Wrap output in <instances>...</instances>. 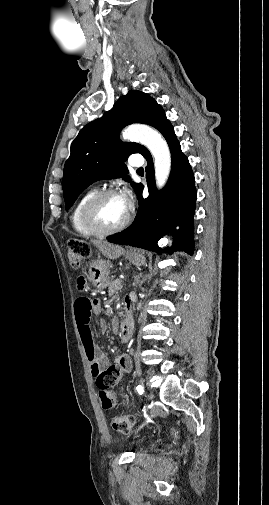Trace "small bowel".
<instances>
[{"label":"small bowel","mask_w":269,"mask_h":505,"mask_svg":"<svg viewBox=\"0 0 269 505\" xmlns=\"http://www.w3.org/2000/svg\"><path fill=\"white\" fill-rule=\"evenodd\" d=\"M77 286L75 287V296L73 299L75 316L77 321L78 331L85 349L86 357L91 364V370L94 376L101 372L106 366L109 365L107 356L103 351L97 347L93 340V331L91 325V317L98 315L101 312V301L95 295H90L86 289L85 275L78 273L76 275ZM107 324L105 321H100L98 324V331L105 333ZM119 372V378L130 371L131 359L127 354L120 355L116 358L115 362L110 366Z\"/></svg>","instance_id":"c3829d8e"}]
</instances>
